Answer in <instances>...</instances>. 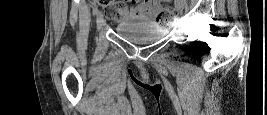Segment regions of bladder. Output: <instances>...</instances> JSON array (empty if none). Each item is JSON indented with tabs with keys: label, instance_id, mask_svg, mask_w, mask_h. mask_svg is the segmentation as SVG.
I'll use <instances>...</instances> for the list:
<instances>
[{
	"label": "bladder",
	"instance_id": "31cf9c89",
	"mask_svg": "<svg viewBox=\"0 0 267 115\" xmlns=\"http://www.w3.org/2000/svg\"><path fill=\"white\" fill-rule=\"evenodd\" d=\"M115 32L130 42L155 41L167 34V31L156 23H122L116 26Z\"/></svg>",
	"mask_w": 267,
	"mask_h": 115
}]
</instances>
